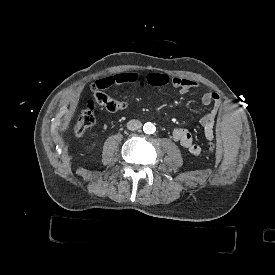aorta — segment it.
I'll list each match as a JSON object with an SVG mask.
<instances>
[{"label": "aorta", "mask_w": 275, "mask_h": 275, "mask_svg": "<svg viewBox=\"0 0 275 275\" xmlns=\"http://www.w3.org/2000/svg\"><path fill=\"white\" fill-rule=\"evenodd\" d=\"M143 131L146 134H152L155 132V126L151 122H147L143 126Z\"/></svg>", "instance_id": "762f6f07"}]
</instances>
